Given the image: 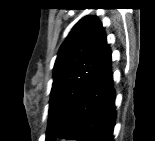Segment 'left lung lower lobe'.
I'll use <instances>...</instances> for the list:
<instances>
[{
    "label": "left lung lower lobe",
    "instance_id": "1",
    "mask_svg": "<svg viewBox=\"0 0 155 141\" xmlns=\"http://www.w3.org/2000/svg\"><path fill=\"white\" fill-rule=\"evenodd\" d=\"M111 64L108 46L97 70L64 120L59 138L113 141L116 107Z\"/></svg>",
    "mask_w": 155,
    "mask_h": 141
}]
</instances>
